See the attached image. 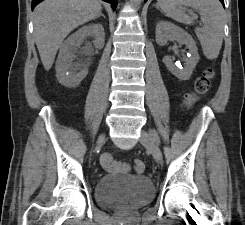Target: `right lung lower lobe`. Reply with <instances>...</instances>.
<instances>
[{"mask_svg": "<svg viewBox=\"0 0 245 225\" xmlns=\"http://www.w3.org/2000/svg\"><path fill=\"white\" fill-rule=\"evenodd\" d=\"M41 1H43V0H32V10L34 9V7L38 4V3H40ZM104 1H106V2H108V3H111L112 5V8L115 10V8H116V6H117V2H118V0H104Z\"/></svg>", "mask_w": 245, "mask_h": 225, "instance_id": "98d812e1", "label": "right lung lower lobe"}]
</instances>
